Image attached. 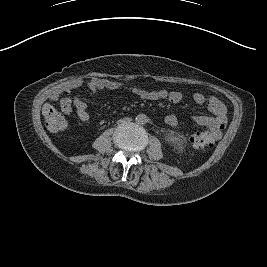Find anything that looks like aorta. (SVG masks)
<instances>
[{"mask_svg": "<svg viewBox=\"0 0 267 267\" xmlns=\"http://www.w3.org/2000/svg\"><path fill=\"white\" fill-rule=\"evenodd\" d=\"M136 122L138 124H146L147 123V116L145 114L137 115Z\"/></svg>", "mask_w": 267, "mask_h": 267, "instance_id": "1", "label": "aorta"}]
</instances>
